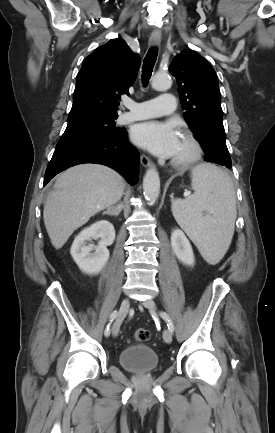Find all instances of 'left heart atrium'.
<instances>
[{"mask_svg":"<svg viewBox=\"0 0 275 433\" xmlns=\"http://www.w3.org/2000/svg\"><path fill=\"white\" fill-rule=\"evenodd\" d=\"M135 144L151 153L165 158L176 153L180 136L170 122L150 120L134 126L131 133Z\"/></svg>","mask_w":275,"mask_h":433,"instance_id":"1","label":"left heart atrium"}]
</instances>
